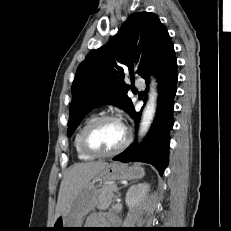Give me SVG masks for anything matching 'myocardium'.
I'll return each instance as SVG.
<instances>
[{
	"label": "myocardium",
	"instance_id": "f54148a6",
	"mask_svg": "<svg viewBox=\"0 0 231 231\" xmlns=\"http://www.w3.org/2000/svg\"><path fill=\"white\" fill-rule=\"evenodd\" d=\"M105 121H116L122 124V126L125 129V139L121 143L120 146L115 148L112 151H107V152H100L95 149H93L89 142H88V137L90 132L100 123L105 122ZM132 139L131 132L128 130V128L122 123V121L115 115H100L95 117L93 120H91L83 129L81 138H80V144L83 149V151L93 157H111L115 156L119 153H121L130 143Z\"/></svg>",
	"mask_w": 231,
	"mask_h": 231
}]
</instances>
